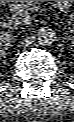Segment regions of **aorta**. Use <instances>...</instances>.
I'll list each match as a JSON object with an SVG mask.
<instances>
[{
    "label": "aorta",
    "instance_id": "obj_1",
    "mask_svg": "<svg viewBox=\"0 0 74 122\" xmlns=\"http://www.w3.org/2000/svg\"><path fill=\"white\" fill-rule=\"evenodd\" d=\"M56 33L50 27H42L37 32V42L41 46H51L56 41Z\"/></svg>",
    "mask_w": 74,
    "mask_h": 122
}]
</instances>
